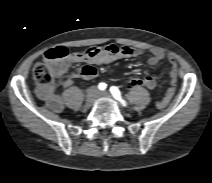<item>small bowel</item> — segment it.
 Segmentation results:
<instances>
[{
  "label": "small bowel",
  "instance_id": "obj_1",
  "mask_svg": "<svg viewBox=\"0 0 212 183\" xmlns=\"http://www.w3.org/2000/svg\"><path fill=\"white\" fill-rule=\"evenodd\" d=\"M146 51L136 49L129 46L107 45L104 47H91L85 52H76L67 56L64 60L54 63L52 69L57 77H61L67 73L69 68L76 63H87L86 66L79 69L75 75H70L64 78L63 86L70 87L73 84V77H78L84 80H91L97 76L95 65L108 64L126 58L137 57ZM150 54L148 64L156 66L159 62L166 58V53L159 48H153L147 51ZM45 60V59H44ZM171 66L170 70V85L164 95L156 102L158 109H163L167 106L175 93L177 82V64L172 56H168ZM144 80L147 82L148 89H154L156 79L153 75H146ZM38 96L44 100L47 106L54 112H59L63 109V101L57 93L55 87H39L37 89Z\"/></svg>",
  "mask_w": 212,
  "mask_h": 183
}]
</instances>
